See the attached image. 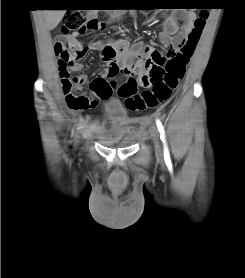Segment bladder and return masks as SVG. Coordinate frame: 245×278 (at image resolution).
<instances>
[{
  "label": "bladder",
  "instance_id": "obj_1",
  "mask_svg": "<svg viewBox=\"0 0 245 278\" xmlns=\"http://www.w3.org/2000/svg\"><path fill=\"white\" fill-rule=\"evenodd\" d=\"M104 128L100 140L110 146L130 147L136 141L134 129L130 126L132 118L129 116L122 102L112 98L106 102Z\"/></svg>",
  "mask_w": 245,
  "mask_h": 278
}]
</instances>
